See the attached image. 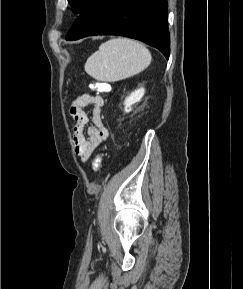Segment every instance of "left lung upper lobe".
Wrapping results in <instances>:
<instances>
[{"mask_svg": "<svg viewBox=\"0 0 243 289\" xmlns=\"http://www.w3.org/2000/svg\"><path fill=\"white\" fill-rule=\"evenodd\" d=\"M90 0H68L75 13H81Z\"/></svg>", "mask_w": 243, "mask_h": 289, "instance_id": "left-lung-upper-lobe-1", "label": "left lung upper lobe"}]
</instances>
